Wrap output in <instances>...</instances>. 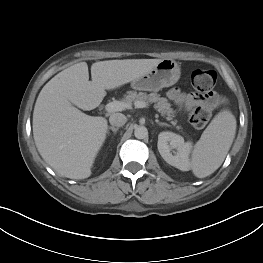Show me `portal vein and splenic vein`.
<instances>
[{"label": "portal vein and splenic vein", "instance_id": "1", "mask_svg": "<svg viewBox=\"0 0 263 263\" xmlns=\"http://www.w3.org/2000/svg\"><path fill=\"white\" fill-rule=\"evenodd\" d=\"M134 104H135V107L137 108H146L149 106L148 103L144 101H136ZM129 108H130L129 104L125 102H121V101H113V102L108 103L105 106L106 111L109 113L122 111L124 109H129Z\"/></svg>", "mask_w": 263, "mask_h": 263}]
</instances>
